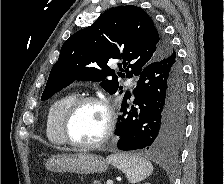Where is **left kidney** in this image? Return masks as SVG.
<instances>
[{
  "mask_svg": "<svg viewBox=\"0 0 224 184\" xmlns=\"http://www.w3.org/2000/svg\"><path fill=\"white\" fill-rule=\"evenodd\" d=\"M144 184H151V183L147 182V183H144Z\"/></svg>",
  "mask_w": 224,
  "mask_h": 184,
  "instance_id": "left-kidney-1",
  "label": "left kidney"
}]
</instances>
